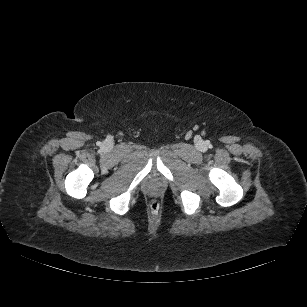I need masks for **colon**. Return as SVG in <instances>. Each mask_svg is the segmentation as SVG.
Returning <instances> with one entry per match:
<instances>
[{"mask_svg": "<svg viewBox=\"0 0 307 307\" xmlns=\"http://www.w3.org/2000/svg\"><path fill=\"white\" fill-rule=\"evenodd\" d=\"M159 207H160V205H159V203H158L157 201H152V202L150 203V209H151L152 211H154V212L158 211V210H159Z\"/></svg>", "mask_w": 307, "mask_h": 307, "instance_id": "1", "label": "colon"}]
</instances>
